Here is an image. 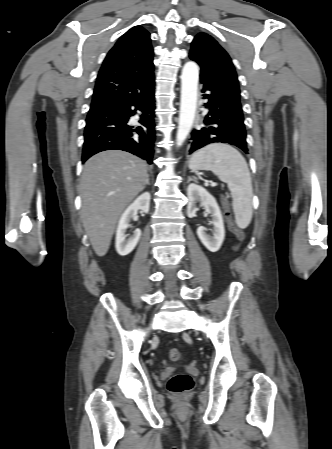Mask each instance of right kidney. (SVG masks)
<instances>
[{
  "label": "right kidney",
  "instance_id": "1",
  "mask_svg": "<svg viewBox=\"0 0 332 449\" xmlns=\"http://www.w3.org/2000/svg\"><path fill=\"white\" fill-rule=\"evenodd\" d=\"M150 198V193L148 192L141 194L122 214L118 223L115 241L116 251L119 255L126 256L136 247L141 236V231L136 229L133 235L127 240L125 232L130 226L131 220L137 219L138 210H141L144 213L149 212Z\"/></svg>",
  "mask_w": 332,
  "mask_h": 449
}]
</instances>
